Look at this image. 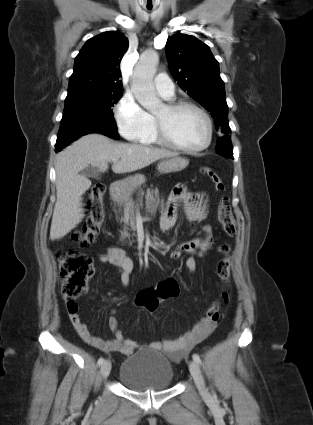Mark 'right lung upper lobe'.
I'll return each instance as SVG.
<instances>
[{
  "mask_svg": "<svg viewBox=\"0 0 313 425\" xmlns=\"http://www.w3.org/2000/svg\"><path fill=\"white\" fill-rule=\"evenodd\" d=\"M123 33L108 31L89 39L75 58L68 94L122 91L120 62L128 49Z\"/></svg>",
  "mask_w": 313,
  "mask_h": 425,
  "instance_id": "obj_1",
  "label": "right lung upper lobe"
}]
</instances>
